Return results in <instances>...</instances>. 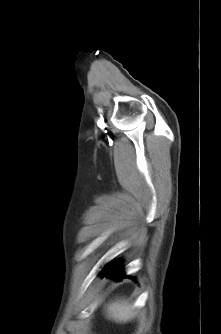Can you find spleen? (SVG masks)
Listing matches in <instances>:
<instances>
[{
    "instance_id": "obj_1",
    "label": "spleen",
    "mask_w": 221,
    "mask_h": 334,
    "mask_svg": "<svg viewBox=\"0 0 221 334\" xmlns=\"http://www.w3.org/2000/svg\"><path fill=\"white\" fill-rule=\"evenodd\" d=\"M107 313L115 320H127L132 316L129 306L124 300H116L107 305Z\"/></svg>"
}]
</instances>
